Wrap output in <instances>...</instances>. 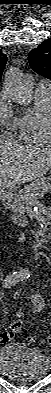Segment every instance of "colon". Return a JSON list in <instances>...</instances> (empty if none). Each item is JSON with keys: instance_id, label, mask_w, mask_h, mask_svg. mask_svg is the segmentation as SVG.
Listing matches in <instances>:
<instances>
[{"instance_id": "1", "label": "colon", "mask_w": 51, "mask_h": 393, "mask_svg": "<svg viewBox=\"0 0 51 393\" xmlns=\"http://www.w3.org/2000/svg\"><path fill=\"white\" fill-rule=\"evenodd\" d=\"M21 327H22V320L21 319H19V318H16V319H13L11 322H10V329H11V331L12 332H17V331H19L20 329H21ZM29 342H35V343H37L38 345H44V344H46V343H50L51 342V338H49V337H47V338H45V339H35V338H31L30 340H29Z\"/></svg>"}]
</instances>
